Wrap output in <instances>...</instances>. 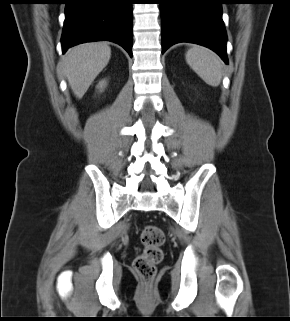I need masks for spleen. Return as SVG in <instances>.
<instances>
[{
  "instance_id": "3e777b00",
  "label": "spleen",
  "mask_w": 290,
  "mask_h": 321,
  "mask_svg": "<svg viewBox=\"0 0 290 321\" xmlns=\"http://www.w3.org/2000/svg\"><path fill=\"white\" fill-rule=\"evenodd\" d=\"M186 61L208 85L218 86L220 84L222 62L213 51L195 45L187 51Z\"/></svg>"
}]
</instances>
